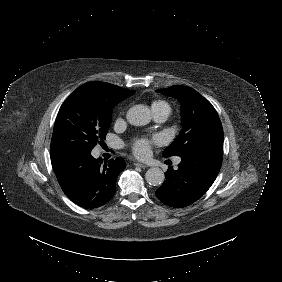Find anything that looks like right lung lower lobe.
<instances>
[{"mask_svg": "<svg viewBox=\"0 0 282 282\" xmlns=\"http://www.w3.org/2000/svg\"><path fill=\"white\" fill-rule=\"evenodd\" d=\"M53 170L64 193L77 205L97 208L116 192V180L126 164L117 157L103 166L91 151L69 153L51 159Z\"/></svg>", "mask_w": 282, "mask_h": 282, "instance_id": "98d812e1", "label": "right lung lower lobe"}]
</instances>
